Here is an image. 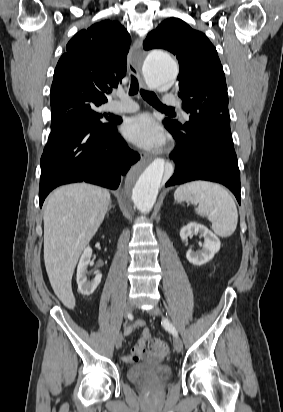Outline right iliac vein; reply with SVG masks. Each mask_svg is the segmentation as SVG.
Returning <instances> with one entry per match:
<instances>
[{"instance_id": "obj_1", "label": "right iliac vein", "mask_w": 283, "mask_h": 412, "mask_svg": "<svg viewBox=\"0 0 283 412\" xmlns=\"http://www.w3.org/2000/svg\"><path fill=\"white\" fill-rule=\"evenodd\" d=\"M133 310V306L130 302H128L125 305V314H129L130 312H132ZM122 341H123V335L122 333H118L115 339V346L117 349H119L122 345Z\"/></svg>"}]
</instances>
